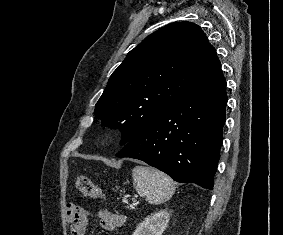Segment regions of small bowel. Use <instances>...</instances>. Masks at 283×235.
Segmentation results:
<instances>
[{"mask_svg":"<svg viewBox=\"0 0 283 235\" xmlns=\"http://www.w3.org/2000/svg\"><path fill=\"white\" fill-rule=\"evenodd\" d=\"M98 217L100 226L105 231H113L126 222V216L119 213L100 211ZM66 218L70 223V235H85L88 221V213L85 209L69 204L66 207Z\"/></svg>","mask_w":283,"mask_h":235,"instance_id":"1","label":"small bowel"}]
</instances>
